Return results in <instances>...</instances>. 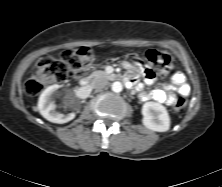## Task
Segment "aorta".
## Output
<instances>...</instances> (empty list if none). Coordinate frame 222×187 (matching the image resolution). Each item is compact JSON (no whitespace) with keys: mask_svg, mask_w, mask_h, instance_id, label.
<instances>
[{"mask_svg":"<svg viewBox=\"0 0 222 187\" xmlns=\"http://www.w3.org/2000/svg\"><path fill=\"white\" fill-rule=\"evenodd\" d=\"M111 89H112L113 92H116V93L121 92L122 89H123L122 83L118 82V81L112 83Z\"/></svg>","mask_w":222,"mask_h":187,"instance_id":"obj_1","label":"aorta"}]
</instances>
